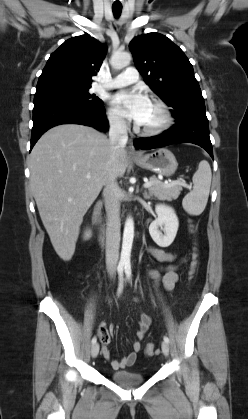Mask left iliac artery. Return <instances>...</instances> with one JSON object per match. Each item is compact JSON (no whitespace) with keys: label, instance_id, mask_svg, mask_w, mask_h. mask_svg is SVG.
Listing matches in <instances>:
<instances>
[{"label":"left iliac artery","instance_id":"44dca946","mask_svg":"<svg viewBox=\"0 0 248 419\" xmlns=\"http://www.w3.org/2000/svg\"><path fill=\"white\" fill-rule=\"evenodd\" d=\"M125 273L128 280L131 278V266L129 264L125 265ZM164 341L169 343V338L167 336H164Z\"/></svg>","mask_w":248,"mask_h":419}]
</instances>
